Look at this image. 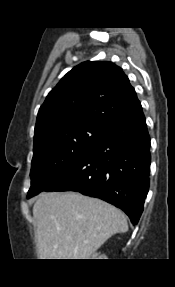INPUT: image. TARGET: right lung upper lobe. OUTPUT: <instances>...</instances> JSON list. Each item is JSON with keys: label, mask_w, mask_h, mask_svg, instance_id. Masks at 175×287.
I'll return each mask as SVG.
<instances>
[{"label": "right lung upper lobe", "mask_w": 175, "mask_h": 287, "mask_svg": "<svg viewBox=\"0 0 175 287\" xmlns=\"http://www.w3.org/2000/svg\"><path fill=\"white\" fill-rule=\"evenodd\" d=\"M141 108L120 67L108 61H87L69 71L50 91L39 109L34 139L62 125H112Z\"/></svg>", "instance_id": "right-lung-upper-lobe-1"}]
</instances>
